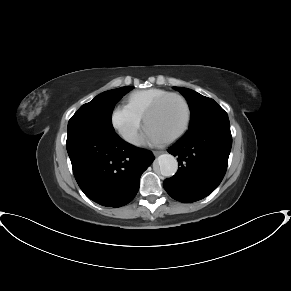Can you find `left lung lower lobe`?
<instances>
[{"instance_id": "obj_1", "label": "left lung lower lobe", "mask_w": 291, "mask_h": 291, "mask_svg": "<svg viewBox=\"0 0 291 291\" xmlns=\"http://www.w3.org/2000/svg\"><path fill=\"white\" fill-rule=\"evenodd\" d=\"M232 146L229 119L213 122L185 134L168 152L180 168L163 185L175 200L191 203L203 199L221 183Z\"/></svg>"}]
</instances>
